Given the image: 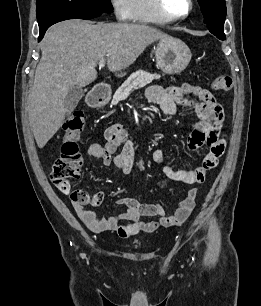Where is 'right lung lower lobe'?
Instances as JSON below:
<instances>
[{
	"mask_svg": "<svg viewBox=\"0 0 261 306\" xmlns=\"http://www.w3.org/2000/svg\"><path fill=\"white\" fill-rule=\"evenodd\" d=\"M36 16L39 25V38L40 41L46 30L53 24L68 20V19H92L100 16L102 13H88V12H76L69 10L51 9V8H37Z\"/></svg>",
	"mask_w": 261,
	"mask_h": 306,
	"instance_id": "obj_1",
	"label": "right lung lower lobe"
}]
</instances>
